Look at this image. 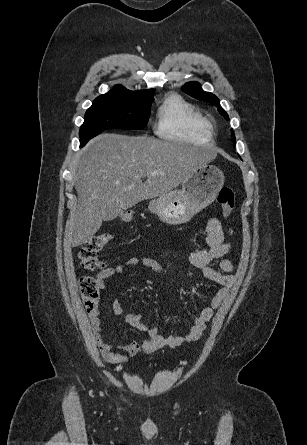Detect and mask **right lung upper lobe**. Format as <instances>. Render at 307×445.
<instances>
[{
	"instance_id": "right-lung-upper-lobe-1",
	"label": "right lung upper lobe",
	"mask_w": 307,
	"mask_h": 445,
	"mask_svg": "<svg viewBox=\"0 0 307 445\" xmlns=\"http://www.w3.org/2000/svg\"><path fill=\"white\" fill-rule=\"evenodd\" d=\"M154 89L149 90H138V91H129L125 89L121 85H116L112 90H110L108 93L102 95V96H119V97H127L137 100H145L150 101L153 100V94Z\"/></svg>"
}]
</instances>
